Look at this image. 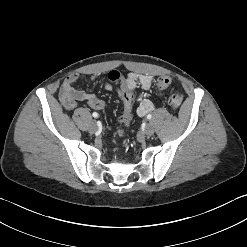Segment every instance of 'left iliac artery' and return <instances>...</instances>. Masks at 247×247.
<instances>
[{
    "mask_svg": "<svg viewBox=\"0 0 247 247\" xmlns=\"http://www.w3.org/2000/svg\"><path fill=\"white\" fill-rule=\"evenodd\" d=\"M151 118H152V115L151 114L147 115V119L148 120H150Z\"/></svg>",
    "mask_w": 247,
    "mask_h": 247,
    "instance_id": "1",
    "label": "left iliac artery"
}]
</instances>
